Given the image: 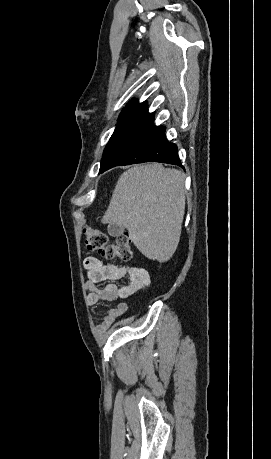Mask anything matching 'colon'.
<instances>
[{"mask_svg":"<svg viewBox=\"0 0 271 459\" xmlns=\"http://www.w3.org/2000/svg\"><path fill=\"white\" fill-rule=\"evenodd\" d=\"M84 235L86 247L91 251L98 252L106 259L129 261L133 257L131 240L127 234H121L111 242L102 230L86 227Z\"/></svg>","mask_w":271,"mask_h":459,"instance_id":"5ec220e1","label":"colon"}]
</instances>
